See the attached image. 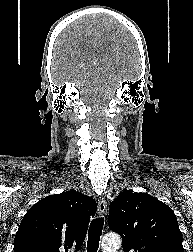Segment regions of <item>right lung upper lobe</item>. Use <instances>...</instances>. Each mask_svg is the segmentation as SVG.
Wrapping results in <instances>:
<instances>
[{
	"mask_svg": "<svg viewBox=\"0 0 193 252\" xmlns=\"http://www.w3.org/2000/svg\"><path fill=\"white\" fill-rule=\"evenodd\" d=\"M96 201L76 191L50 195L24 215L14 252H71L82 246Z\"/></svg>",
	"mask_w": 193,
	"mask_h": 252,
	"instance_id": "cb5924a9",
	"label": "right lung upper lobe"
}]
</instances>
